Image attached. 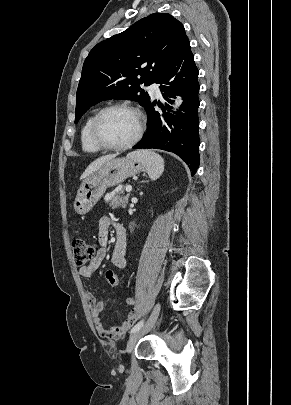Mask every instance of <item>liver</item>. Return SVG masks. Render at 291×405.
I'll list each match as a JSON object with an SVG mask.
<instances>
[{
    "label": "liver",
    "instance_id": "obj_1",
    "mask_svg": "<svg viewBox=\"0 0 291 405\" xmlns=\"http://www.w3.org/2000/svg\"><path fill=\"white\" fill-rule=\"evenodd\" d=\"M115 155H108V156H103L101 158L96 159L94 162H92L87 169L84 171V173L81 176V179H85L89 177L91 174L96 172L105 162L113 159Z\"/></svg>",
    "mask_w": 291,
    "mask_h": 405
}]
</instances>
